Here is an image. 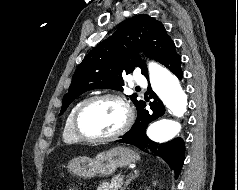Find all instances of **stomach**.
I'll return each instance as SVG.
<instances>
[{"label": "stomach", "mask_w": 238, "mask_h": 190, "mask_svg": "<svg viewBox=\"0 0 238 190\" xmlns=\"http://www.w3.org/2000/svg\"><path fill=\"white\" fill-rule=\"evenodd\" d=\"M140 159L138 153L126 147H114L109 151L101 152L95 158L80 156L72 159L69 170L76 176L90 179L95 176H109L117 168L125 167Z\"/></svg>", "instance_id": "1"}]
</instances>
